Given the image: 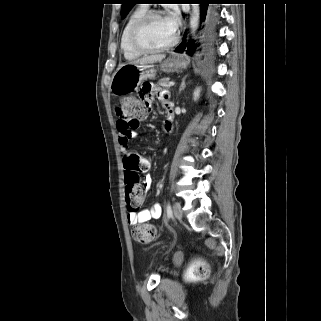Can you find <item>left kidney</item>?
Wrapping results in <instances>:
<instances>
[{
  "label": "left kidney",
  "mask_w": 321,
  "mask_h": 321,
  "mask_svg": "<svg viewBox=\"0 0 321 321\" xmlns=\"http://www.w3.org/2000/svg\"><path fill=\"white\" fill-rule=\"evenodd\" d=\"M199 94H200V90L199 89H196L194 91V94H193V98L194 100H197L199 98Z\"/></svg>",
  "instance_id": "1"
}]
</instances>
